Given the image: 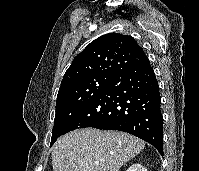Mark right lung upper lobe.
Here are the masks:
<instances>
[{"mask_svg": "<svg viewBox=\"0 0 199 171\" xmlns=\"http://www.w3.org/2000/svg\"><path fill=\"white\" fill-rule=\"evenodd\" d=\"M148 57L134 38L109 33L92 41L72 61L61 82L58 96L97 75L116 76Z\"/></svg>", "mask_w": 199, "mask_h": 171, "instance_id": "cb5924a9", "label": "right lung upper lobe"}]
</instances>
